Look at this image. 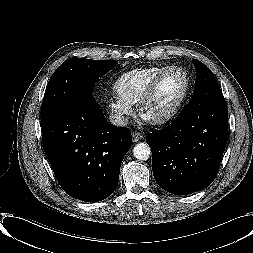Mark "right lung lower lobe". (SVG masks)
<instances>
[{
  "label": "right lung lower lobe",
  "mask_w": 253,
  "mask_h": 253,
  "mask_svg": "<svg viewBox=\"0 0 253 253\" xmlns=\"http://www.w3.org/2000/svg\"><path fill=\"white\" fill-rule=\"evenodd\" d=\"M41 126L46 155L68 195L98 202L115 191L131 132L110 124L91 93L70 100Z\"/></svg>",
  "instance_id": "1"
}]
</instances>
